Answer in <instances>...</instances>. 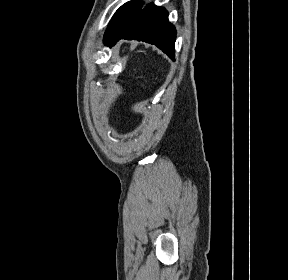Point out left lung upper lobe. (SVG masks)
I'll return each mask as SVG.
<instances>
[{"label":"left lung upper lobe","mask_w":288,"mask_h":280,"mask_svg":"<svg viewBox=\"0 0 288 280\" xmlns=\"http://www.w3.org/2000/svg\"><path fill=\"white\" fill-rule=\"evenodd\" d=\"M142 3L129 1L122 5L113 15L109 26L104 34V43H108L120 31L131 15L141 8Z\"/></svg>","instance_id":"5c2ea615"}]
</instances>
